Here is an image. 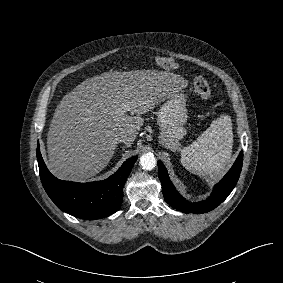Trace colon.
<instances>
[{
  "label": "colon",
  "mask_w": 283,
  "mask_h": 283,
  "mask_svg": "<svg viewBox=\"0 0 283 283\" xmlns=\"http://www.w3.org/2000/svg\"><path fill=\"white\" fill-rule=\"evenodd\" d=\"M154 61L157 65L165 69H177L179 67L178 63H176L174 60L163 56H156ZM193 87L201 99L209 100L211 98L212 92L210 85L203 77H195L193 80Z\"/></svg>",
  "instance_id": "colon-1"
}]
</instances>
